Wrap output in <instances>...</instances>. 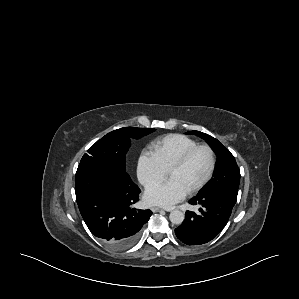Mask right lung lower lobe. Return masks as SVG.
<instances>
[{
	"mask_svg": "<svg viewBox=\"0 0 299 299\" xmlns=\"http://www.w3.org/2000/svg\"><path fill=\"white\" fill-rule=\"evenodd\" d=\"M140 192L130 178L107 165L89 163L77 169L80 213L91 233L113 250L131 247L152 215L134 207Z\"/></svg>",
	"mask_w": 299,
	"mask_h": 299,
	"instance_id": "obj_1",
	"label": "right lung lower lobe"
}]
</instances>
